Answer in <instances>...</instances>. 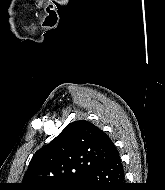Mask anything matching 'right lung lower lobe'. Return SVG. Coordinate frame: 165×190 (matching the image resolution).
Instances as JSON below:
<instances>
[{"label": "right lung lower lobe", "instance_id": "right-lung-lower-lobe-1", "mask_svg": "<svg viewBox=\"0 0 165 190\" xmlns=\"http://www.w3.org/2000/svg\"><path fill=\"white\" fill-rule=\"evenodd\" d=\"M79 190H126L119 153L86 171Z\"/></svg>", "mask_w": 165, "mask_h": 190}]
</instances>
